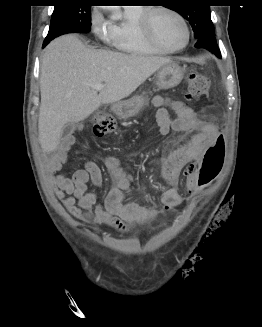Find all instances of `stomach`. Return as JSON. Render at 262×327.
I'll use <instances>...</instances> for the list:
<instances>
[{
    "label": "stomach",
    "instance_id": "stomach-1",
    "mask_svg": "<svg viewBox=\"0 0 262 327\" xmlns=\"http://www.w3.org/2000/svg\"><path fill=\"white\" fill-rule=\"evenodd\" d=\"M184 70L177 63L164 65L156 75V85L159 89H168L177 86L183 79ZM148 103V98L136 95L130 99L112 104V111L121 118H130Z\"/></svg>",
    "mask_w": 262,
    "mask_h": 327
}]
</instances>
